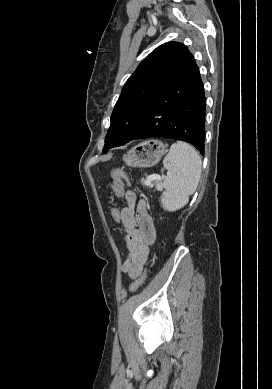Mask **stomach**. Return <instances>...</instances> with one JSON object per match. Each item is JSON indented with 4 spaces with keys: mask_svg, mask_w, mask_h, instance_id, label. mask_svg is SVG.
Here are the masks:
<instances>
[{
    "mask_svg": "<svg viewBox=\"0 0 272 389\" xmlns=\"http://www.w3.org/2000/svg\"><path fill=\"white\" fill-rule=\"evenodd\" d=\"M166 153V145L159 140L144 141L124 156L123 161L130 167H152L156 165Z\"/></svg>",
    "mask_w": 272,
    "mask_h": 389,
    "instance_id": "obj_1",
    "label": "stomach"
}]
</instances>
